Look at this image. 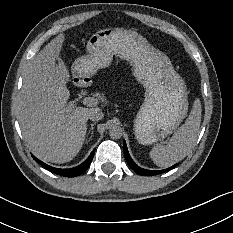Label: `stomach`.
Returning <instances> with one entry per match:
<instances>
[{
  "mask_svg": "<svg viewBox=\"0 0 233 233\" xmlns=\"http://www.w3.org/2000/svg\"><path fill=\"white\" fill-rule=\"evenodd\" d=\"M86 54L71 65V74L78 79L92 78L108 68L114 56L134 66V76L146 89L145 102L135 121V133L142 144H152L172 133L187 111L186 88L171 68L169 60L153 48L141 35L122 28H107L92 34Z\"/></svg>",
  "mask_w": 233,
  "mask_h": 233,
  "instance_id": "stomach-1",
  "label": "stomach"
}]
</instances>
